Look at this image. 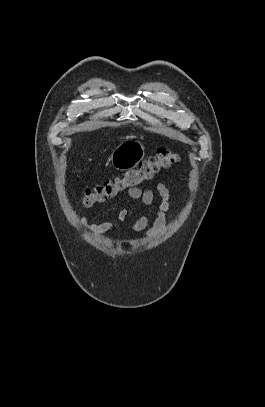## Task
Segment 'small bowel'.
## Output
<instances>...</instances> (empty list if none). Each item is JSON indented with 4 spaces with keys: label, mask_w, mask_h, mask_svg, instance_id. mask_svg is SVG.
<instances>
[{
    "label": "small bowel",
    "mask_w": 265,
    "mask_h": 407,
    "mask_svg": "<svg viewBox=\"0 0 265 407\" xmlns=\"http://www.w3.org/2000/svg\"><path fill=\"white\" fill-rule=\"evenodd\" d=\"M157 191L161 197L156 217L149 227V218L147 215L140 216L131 226L133 232H145L148 237H153L164 231L167 221L173 217L171 213L170 193L163 183L157 184ZM128 196L132 199H141L143 204L151 205L154 202V193L152 190H141L138 187L128 189ZM129 210L123 208L119 211L113 221H104L100 223H90L86 216L81 217V223L91 232L102 234L114 230L119 223L129 216Z\"/></svg>",
    "instance_id": "small-bowel-1"
}]
</instances>
